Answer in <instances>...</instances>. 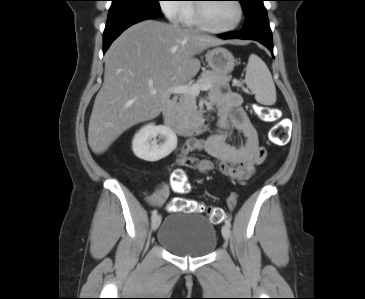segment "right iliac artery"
<instances>
[{"mask_svg": "<svg viewBox=\"0 0 365 299\" xmlns=\"http://www.w3.org/2000/svg\"><path fill=\"white\" fill-rule=\"evenodd\" d=\"M155 215H157V210H156V209H154V210L152 211V216L154 217Z\"/></svg>", "mask_w": 365, "mask_h": 299, "instance_id": "obj_1", "label": "right iliac artery"}]
</instances>
